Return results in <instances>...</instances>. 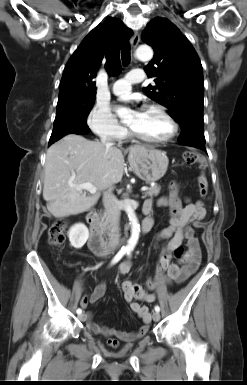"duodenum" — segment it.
I'll use <instances>...</instances> for the list:
<instances>
[{
  "instance_id": "duodenum-1",
  "label": "duodenum",
  "mask_w": 247,
  "mask_h": 385,
  "mask_svg": "<svg viewBox=\"0 0 247 385\" xmlns=\"http://www.w3.org/2000/svg\"><path fill=\"white\" fill-rule=\"evenodd\" d=\"M87 221L90 225V235L88 238L89 248L99 255H107L112 247L103 238L101 223L98 220V215L95 210L88 212ZM153 224V219L147 217L141 225L142 233L149 232L152 229ZM124 241L125 239L120 240L116 246L121 245Z\"/></svg>"
}]
</instances>
